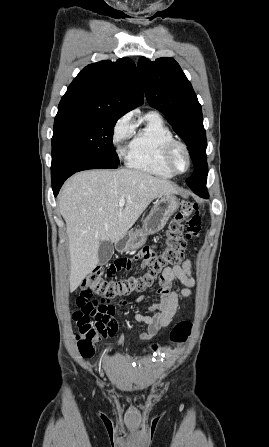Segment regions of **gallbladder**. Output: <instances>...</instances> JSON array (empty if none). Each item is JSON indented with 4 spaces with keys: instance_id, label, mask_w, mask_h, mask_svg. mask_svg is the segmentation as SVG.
Masks as SVG:
<instances>
[{
    "instance_id": "obj_1",
    "label": "gallbladder",
    "mask_w": 269,
    "mask_h": 447,
    "mask_svg": "<svg viewBox=\"0 0 269 447\" xmlns=\"http://www.w3.org/2000/svg\"><path fill=\"white\" fill-rule=\"evenodd\" d=\"M114 253V245L111 241H101L98 249L99 265H105Z\"/></svg>"
}]
</instances>
